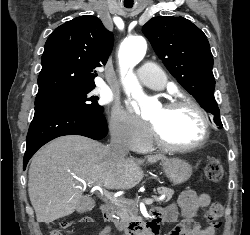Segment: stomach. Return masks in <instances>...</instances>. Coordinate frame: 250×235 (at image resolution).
I'll use <instances>...</instances> for the list:
<instances>
[{"instance_id":"stomach-1","label":"stomach","mask_w":250,"mask_h":235,"mask_svg":"<svg viewBox=\"0 0 250 235\" xmlns=\"http://www.w3.org/2000/svg\"><path fill=\"white\" fill-rule=\"evenodd\" d=\"M160 165L166 176L174 185L186 182L192 175L191 165L178 158H164Z\"/></svg>"}]
</instances>
